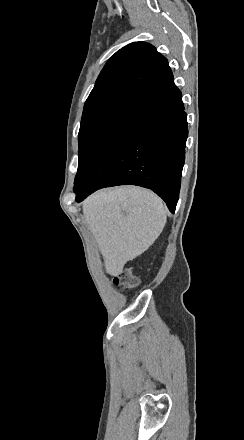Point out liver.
Returning <instances> with one entry per match:
<instances>
[{"instance_id":"obj_1","label":"liver","mask_w":244,"mask_h":440,"mask_svg":"<svg viewBox=\"0 0 244 440\" xmlns=\"http://www.w3.org/2000/svg\"><path fill=\"white\" fill-rule=\"evenodd\" d=\"M83 216L110 276L146 252L167 222L163 200L137 186L99 190L82 204Z\"/></svg>"}]
</instances>
